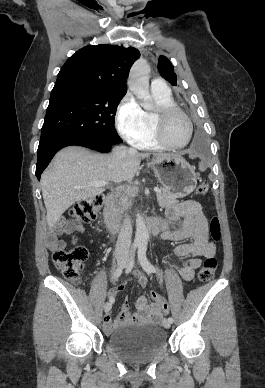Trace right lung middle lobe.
Masks as SVG:
<instances>
[{
  "instance_id": "right-lung-middle-lobe-1",
  "label": "right lung middle lobe",
  "mask_w": 265,
  "mask_h": 388,
  "mask_svg": "<svg viewBox=\"0 0 265 388\" xmlns=\"http://www.w3.org/2000/svg\"><path fill=\"white\" fill-rule=\"evenodd\" d=\"M126 92L74 90L51 93L41 140L61 133H76L99 143L118 144L114 115Z\"/></svg>"
}]
</instances>
